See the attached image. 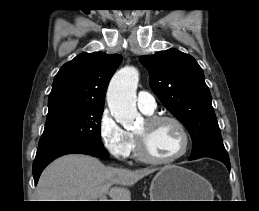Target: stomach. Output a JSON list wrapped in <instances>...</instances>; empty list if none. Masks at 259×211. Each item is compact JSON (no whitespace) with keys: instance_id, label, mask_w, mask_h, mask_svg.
Here are the masks:
<instances>
[{"instance_id":"stomach-1","label":"stomach","mask_w":259,"mask_h":211,"mask_svg":"<svg viewBox=\"0 0 259 211\" xmlns=\"http://www.w3.org/2000/svg\"><path fill=\"white\" fill-rule=\"evenodd\" d=\"M212 196L206 180L176 165L163 167L150 184L151 201H209Z\"/></svg>"}]
</instances>
